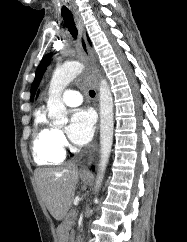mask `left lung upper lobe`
Listing matches in <instances>:
<instances>
[{
  "instance_id": "left-lung-upper-lobe-1",
  "label": "left lung upper lobe",
  "mask_w": 187,
  "mask_h": 242,
  "mask_svg": "<svg viewBox=\"0 0 187 242\" xmlns=\"http://www.w3.org/2000/svg\"><path fill=\"white\" fill-rule=\"evenodd\" d=\"M50 63V56L47 55L45 56L42 61L40 62V65L38 66L37 70H36V76L35 79L32 83L31 86V100H33L35 93H36V89L40 83V80L46 70L47 65Z\"/></svg>"
}]
</instances>
